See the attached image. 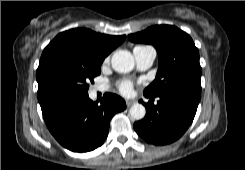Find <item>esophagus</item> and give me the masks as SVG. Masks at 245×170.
<instances>
[{
	"instance_id": "obj_1",
	"label": "esophagus",
	"mask_w": 245,
	"mask_h": 170,
	"mask_svg": "<svg viewBox=\"0 0 245 170\" xmlns=\"http://www.w3.org/2000/svg\"><path fill=\"white\" fill-rule=\"evenodd\" d=\"M133 104L132 100H126V105L127 107L131 106Z\"/></svg>"
}]
</instances>
